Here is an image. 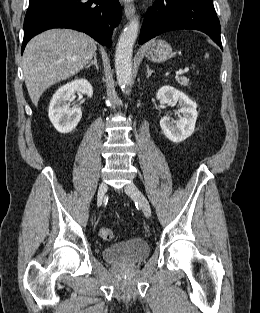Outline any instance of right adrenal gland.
Masks as SVG:
<instances>
[{
  "label": "right adrenal gland",
  "mask_w": 260,
  "mask_h": 313,
  "mask_svg": "<svg viewBox=\"0 0 260 313\" xmlns=\"http://www.w3.org/2000/svg\"><path fill=\"white\" fill-rule=\"evenodd\" d=\"M92 65H95L96 69L98 70V64H97V54H94L93 60L86 66V68H90Z\"/></svg>",
  "instance_id": "2a0ac1e0"
}]
</instances>
